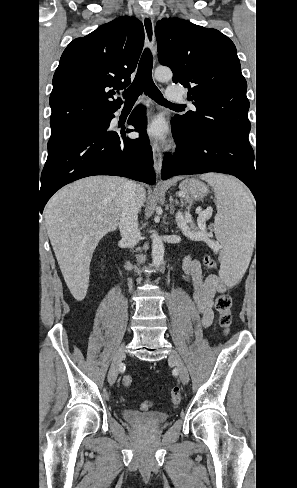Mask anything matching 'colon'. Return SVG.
<instances>
[{"label": "colon", "mask_w": 297, "mask_h": 488, "mask_svg": "<svg viewBox=\"0 0 297 488\" xmlns=\"http://www.w3.org/2000/svg\"><path fill=\"white\" fill-rule=\"evenodd\" d=\"M204 266L208 270H215L217 268V264L215 260L211 257H205L204 258ZM216 309L218 311L219 317V325L221 328L224 330V332H228L231 323H232V313H231V307H232V299L229 295L227 294H222L218 296L216 299ZM132 381V376L128 374L127 372L123 373V383L125 386H130ZM170 398L172 404L176 405L179 403L180 398H181V390L179 387H174L171 392H170ZM152 403L145 401L141 403L140 409L142 411H147L151 408Z\"/></svg>", "instance_id": "obj_1"}]
</instances>
